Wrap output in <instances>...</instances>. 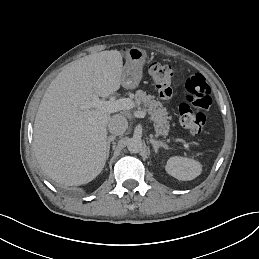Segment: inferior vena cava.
<instances>
[{"label":"inferior vena cava","mask_w":259,"mask_h":259,"mask_svg":"<svg viewBox=\"0 0 259 259\" xmlns=\"http://www.w3.org/2000/svg\"><path fill=\"white\" fill-rule=\"evenodd\" d=\"M128 128V121L125 116L116 114L113 115L108 123V129L113 135H121Z\"/></svg>","instance_id":"obj_1"}]
</instances>
